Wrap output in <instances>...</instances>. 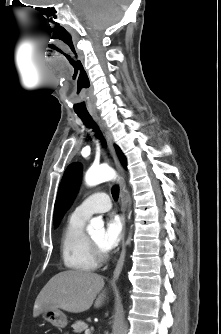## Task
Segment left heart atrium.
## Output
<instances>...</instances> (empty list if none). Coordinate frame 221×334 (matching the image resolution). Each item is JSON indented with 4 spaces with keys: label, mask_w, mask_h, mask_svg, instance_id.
I'll return each instance as SVG.
<instances>
[{
    "label": "left heart atrium",
    "mask_w": 221,
    "mask_h": 334,
    "mask_svg": "<svg viewBox=\"0 0 221 334\" xmlns=\"http://www.w3.org/2000/svg\"><path fill=\"white\" fill-rule=\"evenodd\" d=\"M123 225L117 216H110L106 221L105 231L102 238V248L105 251L114 249L122 239Z\"/></svg>",
    "instance_id": "left-heart-atrium-1"
}]
</instances>
